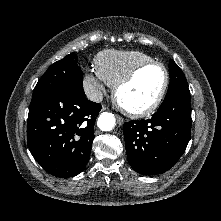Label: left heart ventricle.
<instances>
[{"instance_id":"left-heart-ventricle-1","label":"left heart ventricle","mask_w":221,"mask_h":221,"mask_svg":"<svg viewBox=\"0 0 221 221\" xmlns=\"http://www.w3.org/2000/svg\"><path fill=\"white\" fill-rule=\"evenodd\" d=\"M164 82V72L158 66L142 70L136 78L121 89V102L131 109H141L153 102Z\"/></svg>"}]
</instances>
